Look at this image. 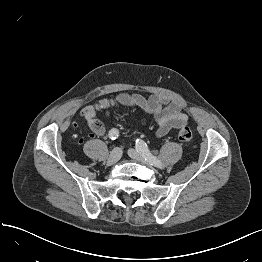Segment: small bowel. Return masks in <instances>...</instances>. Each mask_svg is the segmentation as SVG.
Returning a JSON list of instances; mask_svg holds the SVG:
<instances>
[{
  "label": "small bowel",
  "mask_w": 262,
  "mask_h": 262,
  "mask_svg": "<svg viewBox=\"0 0 262 262\" xmlns=\"http://www.w3.org/2000/svg\"><path fill=\"white\" fill-rule=\"evenodd\" d=\"M119 104L128 108H140L151 115L156 122V136L163 137L173 129H178L188 123V115L175 100L166 99L160 95L145 98L140 94L118 93L113 99L104 98L96 104H88L81 110V117L87 122L92 136H100L104 129L96 119V112L103 111L111 118L114 105Z\"/></svg>",
  "instance_id": "1"
}]
</instances>
